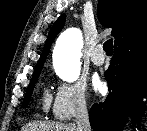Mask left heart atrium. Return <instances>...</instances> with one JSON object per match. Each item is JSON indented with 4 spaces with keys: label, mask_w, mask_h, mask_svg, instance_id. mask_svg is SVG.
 <instances>
[{
    "label": "left heart atrium",
    "mask_w": 147,
    "mask_h": 131,
    "mask_svg": "<svg viewBox=\"0 0 147 131\" xmlns=\"http://www.w3.org/2000/svg\"><path fill=\"white\" fill-rule=\"evenodd\" d=\"M102 82L99 79H94L93 88L95 91H100L102 89Z\"/></svg>",
    "instance_id": "39dd6f15"
}]
</instances>
